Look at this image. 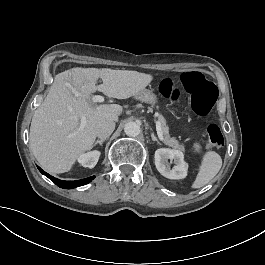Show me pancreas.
<instances>
[{
  "label": "pancreas",
  "instance_id": "cf45deb5",
  "mask_svg": "<svg viewBox=\"0 0 265 265\" xmlns=\"http://www.w3.org/2000/svg\"><path fill=\"white\" fill-rule=\"evenodd\" d=\"M157 122L160 123V125L162 127V131H163V133L165 135V141H164V143L167 146L171 147V148H174V149H178V150L183 151L184 148H185V145H181L178 140H175L174 138H169L168 137L169 134H168V131L166 129L167 127H166V122H165L164 117L161 116V115L158 116L157 117Z\"/></svg>",
  "mask_w": 265,
  "mask_h": 265
}]
</instances>
